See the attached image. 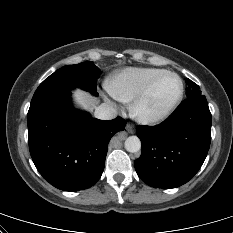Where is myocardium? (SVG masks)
I'll list each match as a JSON object with an SVG mask.
<instances>
[{"instance_id":"f54148a6","label":"myocardium","mask_w":233,"mask_h":233,"mask_svg":"<svg viewBox=\"0 0 233 233\" xmlns=\"http://www.w3.org/2000/svg\"><path fill=\"white\" fill-rule=\"evenodd\" d=\"M166 75L173 76L177 79L178 85H179V91H178L177 96L166 108H164L159 113L154 114V115L144 114L141 110L143 103L149 96L155 84L162 77ZM183 95H184V83L181 77L175 72L164 70L161 73L157 74L155 77H153L145 85V87L134 97V99L131 101V104H130V112L132 116L140 123L150 124V125L157 124L167 119L174 112V110L178 107V105L182 101Z\"/></svg>"}]
</instances>
